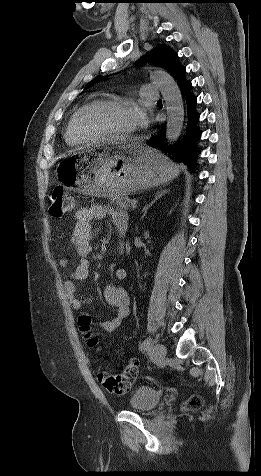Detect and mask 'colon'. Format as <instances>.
<instances>
[{
	"instance_id": "5ec220e1",
	"label": "colon",
	"mask_w": 261,
	"mask_h": 476,
	"mask_svg": "<svg viewBox=\"0 0 261 476\" xmlns=\"http://www.w3.org/2000/svg\"><path fill=\"white\" fill-rule=\"evenodd\" d=\"M74 198L68 193L63 185L53 188L50 194V213L54 217H62L74 210ZM91 318L88 314H83L79 318L80 331L87 339L88 345L96 347L97 338L90 332ZM139 372V364L136 359H131L123 371L119 374H111L106 371H100L97 375L98 381L104 389L113 394H124L128 392L135 382ZM188 409H196L201 405V399L198 396L190 397L186 403Z\"/></svg>"
}]
</instances>
